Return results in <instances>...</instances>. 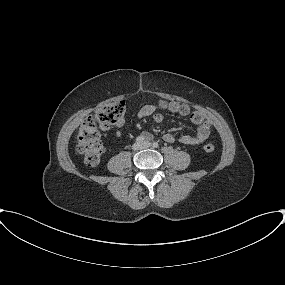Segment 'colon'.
<instances>
[{"label": "colon", "instance_id": "1", "mask_svg": "<svg viewBox=\"0 0 285 285\" xmlns=\"http://www.w3.org/2000/svg\"><path fill=\"white\" fill-rule=\"evenodd\" d=\"M161 106L183 115L189 113V108L186 105L175 102L161 101ZM124 110V102L118 101L100 107L94 116L84 119L77 134V149L84 156L87 165H98L104 153L99 128L117 123L123 117ZM191 119L193 122H200L204 117L201 113L194 112ZM214 149L215 146L212 143H207L204 146V150L208 153L213 152Z\"/></svg>", "mask_w": 285, "mask_h": 285}]
</instances>
